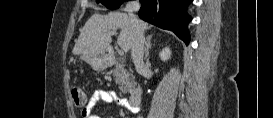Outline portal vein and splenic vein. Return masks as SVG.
<instances>
[{"instance_id":"18ae733b","label":"portal vein and splenic vein","mask_w":273,"mask_h":118,"mask_svg":"<svg viewBox=\"0 0 273 118\" xmlns=\"http://www.w3.org/2000/svg\"><path fill=\"white\" fill-rule=\"evenodd\" d=\"M112 34H115V31H112ZM121 47V46H120ZM118 53L121 55L123 54V48L121 47V49L118 50Z\"/></svg>"}]
</instances>
